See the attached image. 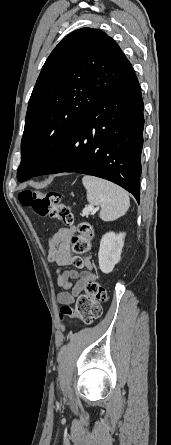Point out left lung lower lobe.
<instances>
[{
    "label": "left lung lower lobe",
    "instance_id": "left-lung-lower-lobe-1",
    "mask_svg": "<svg viewBox=\"0 0 171 445\" xmlns=\"http://www.w3.org/2000/svg\"><path fill=\"white\" fill-rule=\"evenodd\" d=\"M143 100L133 73L80 117L54 157L34 176L77 172L97 176L140 198Z\"/></svg>",
    "mask_w": 171,
    "mask_h": 445
}]
</instances>
